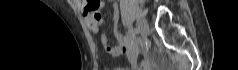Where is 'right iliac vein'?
Instances as JSON below:
<instances>
[{"mask_svg": "<svg viewBox=\"0 0 238 70\" xmlns=\"http://www.w3.org/2000/svg\"><path fill=\"white\" fill-rule=\"evenodd\" d=\"M137 27L139 29V32L141 34V37L145 39L148 34V23L145 18L139 17L137 20Z\"/></svg>", "mask_w": 238, "mask_h": 70, "instance_id": "1", "label": "right iliac vein"}]
</instances>
